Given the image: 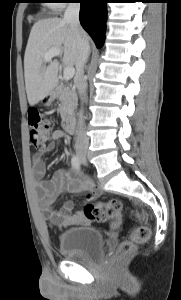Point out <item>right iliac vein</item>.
<instances>
[{
    "label": "right iliac vein",
    "instance_id": "right-iliac-vein-1",
    "mask_svg": "<svg viewBox=\"0 0 181 300\" xmlns=\"http://www.w3.org/2000/svg\"><path fill=\"white\" fill-rule=\"evenodd\" d=\"M79 157H80V159L85 160L86 159V153H79Z\"/></svg>",
    "mask_w": 181,
    "mask_h": 300
}]
</instances>
